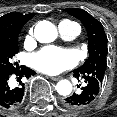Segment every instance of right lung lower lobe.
Wrapping results in <instances>:
<instances>
[{"mask_svg": "<svg viewBox=\"0 0 117 117\" xmlns=\"http://www.w3.org/2000/svg\"><path fill=\"white\" fill-rule=\"evenodd\" d=\"M13 73L22 78L23 75L29 77L35 72L23 66L20 71L15 69L12 72L0 73V108L2 109L17 108L24 100L25 88L23 83H20L16 88H10L8 85L9 77Z\"/></svg>", "mask_w": 117, "mask_h": 117, "instance_id": "98d812e1", "label": "right lung lower lobe"}]
</instances>
